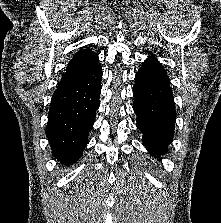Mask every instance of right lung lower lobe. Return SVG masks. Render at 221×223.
<instances>
[{"label":"right lung lower lobe","mask_w":221,"mask_h":223,"mask_svg":"<svg viewBox=\"0 0 221 223\" xmlns=\"http://www.w3.org/2000/svg\"><path fill=\"white\" fill-rule=\"evenodd\" d=\"M102 69L98 65L84 76L59 85L48 115L46 136L52 155L62 164L78 160L88 143V133L99 108Z\"/></svg>","instance_id":"1"}]
</instances>
